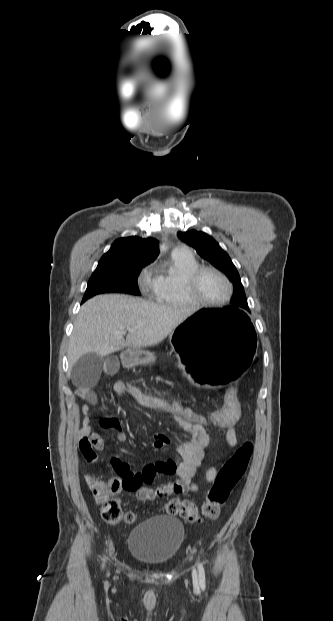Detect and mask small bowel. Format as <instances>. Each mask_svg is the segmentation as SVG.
<instances>
[{"mask_svg": "<svg viewBox=\"0 0 333 621\" xmlns=\"http://www.w3.org/2000/svg\"><path fill=\"white\" fill-rule=\"evenodd\" d=\"M113 366V363H110ZM117 395H123V391L114 385ZM77 397L82 401L81 413L82 422L79 431V448L87 462L93 463L97 460V452L103 447V440L97 432L91 429V420L88 416L89 405L97 403L96 394L93 387L84 385L76 391ZM101 427L111 429L117 433L118 439L124 441L126 435L118 419L103 418L100 422ZM181 428L188 434V439L177 446V452L182 460L179 464L172 459L156 461L147 465L142 471L133 470L129 464L113 458L114 469L126 468L133 473L137 479V486L133 490L137 498L143 501H152L157 498H166L172 495L187 494L197 491L198 483L195 480L198 467L205 456V451L209 443L208 433L202 424L179 423ZM226 441L229 446L237 444V436L234 424L226 427ZM170 443L169 439L161 434L153 437V447L157 450L163 449ZM167 475L176 476V479L169 480L163 484L152 486L156 476ZM217 475L215 466H210L206 471V481H214Z\"/></svg>", "mask_w": 333, "mask_h": 621, "instance_id": "small-bowel-1", "label": "small bowel"}]
</instances>
